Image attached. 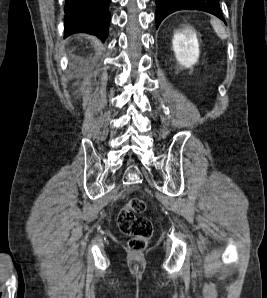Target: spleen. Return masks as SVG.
<instances>
[{"mask_svg":"<svg viewBox=\"0 0 267 298\" xmlns=\"http://www.w3.org/2000/svg\"><path fill=\"white\" fill-rule=\"evenodd\" d=\"M210 23L218 37L222 40H225L227 38V33L223 23L217 18H212Z\"/></svg>","mask_w":267,"mask_h":298,"instance_id":"obj_1","label":"spleen"}]
</instances>
